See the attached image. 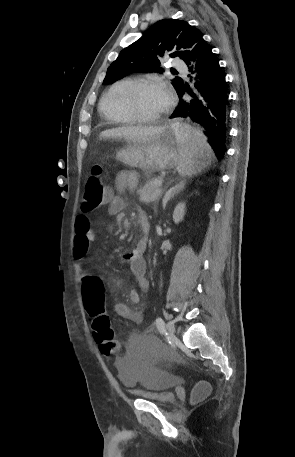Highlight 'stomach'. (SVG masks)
Wrapping results in <instances>:
<instances>
[{
	"label": "stomach",
	"mask_w": 295,
	"mask_h": 457,
	"mask_svg": "<svg viewBox=\"0 0 295 457\" xmlns=\"http://www.w3.org/2000/svg\"><path fill=\"white\" fill-rule=\"evenodd\" d=\"M177 137L172 125L163 126L162 131L148 142L127 141L116 151L115 158L122 163L147 172L162 171L173 167L179 161ZM212 158L205 159V165Z\"/></svg>",
	"instance_id": "1"
}]
</instances>
